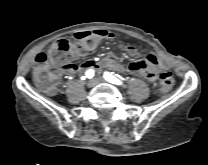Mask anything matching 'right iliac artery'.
<instances>
[{
  "instance_id": "right-iliac-artery-1",
  "label": "right iliac artery",
  "mask_w": 208,
  "mask_h": 165,
  "mask_svg": "<svg viewBox=\"0 0 208 165\" xmlns=\"http://www.w3.org/2000/svg\"><path fill=\"white\" fill-rule=\"evenodd\" d=\"M86 76H87L88 78H92V77L94 76V71H93V70H88V71L86 72Z\"/></svg>"
}]
</instances>
